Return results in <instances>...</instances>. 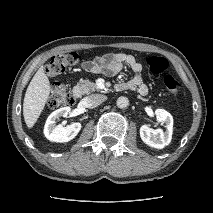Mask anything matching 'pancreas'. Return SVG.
Listing matches in <instances>:
<instances>
[{
	"label": "pancreas",
	"instance_id": "cf45deb5",
	"mask_svg": "<svg viewBox=\"0 0 213 213\" xmlns=\"http://www.w3.org/2000/svg\"><path fill=\"white\" fill-rule=\"evenodd\" d=\"M78 86L84 94H89L97 90V85L89 80H80Z\"/></svg>",
	"mask_w": 213,
	"mask_h": 213
}]
</instances>
